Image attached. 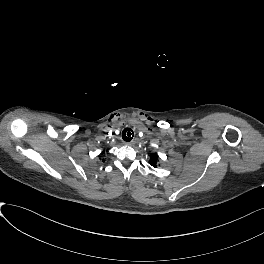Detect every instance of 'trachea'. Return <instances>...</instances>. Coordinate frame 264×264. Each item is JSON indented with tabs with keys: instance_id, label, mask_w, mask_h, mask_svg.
<instances>
[{
	"instance_id": "obj_1",
	"label": "trachea",
	"mask_w": 264,
	"mask_h": 264,
	"mask_svg": "<svg viewBox=\"0 0 264 264\" xmlns=\"http://www.w3.org/2000/svg\"><path fill=\"white\" fill-rule=\"evenodd\" d=\"M134 134L133 130L131 128H125L122 132V139L126 142H129L132 140Z\"/></svg>"
}]
</instances>
